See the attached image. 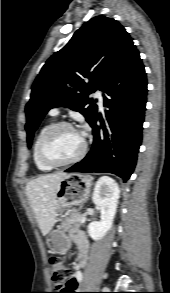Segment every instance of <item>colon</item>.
Returning <instances> with one entry per match:
<instances>
[{
  "mask_svg": "<svg viewBox=\"0 0 170 293\" xmlns=\"http://www.w3.org/2000/svg\"><path fill=\"white\" fill-rule=\"evenodd\" d=\"M51 276L54 286L57 288L53 293H66L67 281L70 277V269L59 258L51 259Z\"/></svg>",
  "mask_w": 170,
  "mask_h": 293,
  "instance_id": "obj_1",
  "label": "colon"
}]
</instances>
